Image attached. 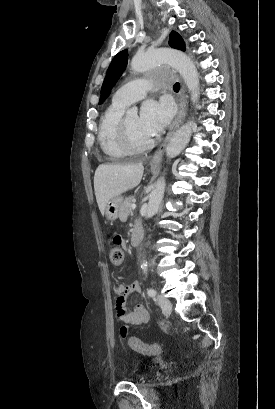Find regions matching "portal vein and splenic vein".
I'll list each match as a JSON object with an SVG mask.
<instances>
[{
    "label": "portal vein and splenic vein",
    "mask_w": 275,
    "mask_h": 409,
    "mask_svg": "<svg viewBox=\"0 0 275 409\" xmlns=\"http://www.w3.org/2000/svg\"><path fill=\"white\" fill-rule=\"evenodd\" d=\"M131 209H136V205H131Z\"/></svg>",
    "instance_id": "portal-vein-and-splenic-vein-1"
}]
</instances>
